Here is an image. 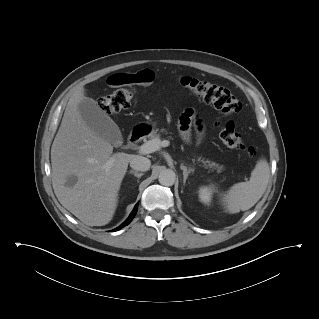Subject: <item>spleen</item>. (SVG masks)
Instances as JSON below:
<instances>
[{
  "label": "spleen",
  "instance_id": "spleen-1",
  "mask_svg": "<svg viewBox=\"0 0 319 319\" xmlns=\"http://www.w3.org/2000/svg\"><path fill=\"white\" fill-rule=\"evenodd\" d=\"M269 176L268 162L261 158L252 170L250 180L234 184L224 195L223 202L226 210L234 214L253 207L263 196Z\"/></svg>",
  "mask_w": 319,
  "mask_h": 319
}]
</instances>
